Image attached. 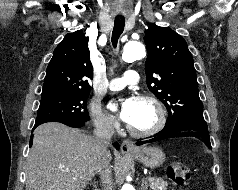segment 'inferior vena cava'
<instances>
[{
	"label": "inferior vena cava",
	"mask_w": 238,
	"mask_h": 190,
	"mask_svg": "<svg viewBox=\"0 0 238 190\" xmlns=\"http://www.w3.org/2000/svg\"><path fill=\"white\" fill-rule=\"evenodd\" d=\"M95 127L94 138L100 162L99 175L103 184V190H111V177L109 174L105 154L115 132L113 123L108 118H100L95 121Z\"/></svg>",
	"instance_id": "602c4592"
}]
</instances>
